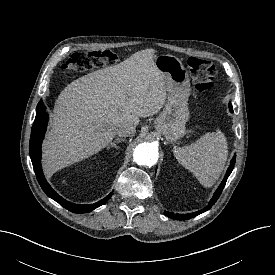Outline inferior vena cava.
I'll list each match as a JSON object with an SVG mask.
<instances>
[{
	"label": "inferior vena cava",
	"instance_id": "inferior-vena-cava-1",
	"mask_svg": "<svg viewBox=\"0 0 275 275\" xmlns=\"http://www.w3.org/2000/svg\"><path fill=\"white\" fill-rule=\"evenodd\" d=\"M135 132V126L130 123H121L115 128V133L120 137L133 136Z\"/></svg>",
	"mask_w": 275,
	"mask_h": 275
}]
</instances>
